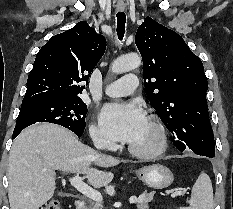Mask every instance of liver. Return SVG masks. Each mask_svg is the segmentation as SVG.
<instances>
[{
	"label": "liver",
	"mask_w": 233,
	"mask_h": 209,
	"mask_svg": "<svg viewBox=\"0 0 233 209\" xmlns=\"http://www.w3.org/2000/svg\"><path fill=\"white\" fill-rule=\"evenodd\" d=\"M120 160L97 153L69 130L55 124L31 126L14 140L8 160L10 209H39L54 195L55 171L83 174L95 188L107 186L114 175L96 167Z\"/></svg>",
	"instance_id": "liver-1"
}]
</instances>
